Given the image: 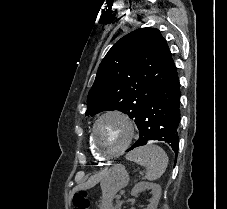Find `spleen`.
Returning <instances> with one entry per match:
<instances>
[{"label":"spleen","mask_w":227,"mask_h":209,"mask_svg":"<svg viewBox=\"0 0 227 209\" xmlns=\"http://www.w3.org/2000/svg\"><path fill=\"white\" fill-rule=\"evenodd\" d=\"M127 161H134L146 169V179L156 181L165 173L168 165V157L158 145H144L137 147L126 155Z\"/></svg>","instance_id":"3e777b00"}]
</instances>
